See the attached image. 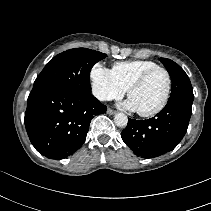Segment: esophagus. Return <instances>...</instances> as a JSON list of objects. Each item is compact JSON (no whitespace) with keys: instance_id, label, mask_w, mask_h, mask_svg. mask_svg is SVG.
Returning <instances> with one entry per match:
<instances>
[{"instance_id":"obj_1","label":"esophagus","mask_w":211,"mask_h":211,"mask_svg":"<svg viewBox=\"0 0 211 211\" xmlns=\"http://www.w3.org/2000/svg\"><path fill=\"white\" fill-rule=\"evenodd\" d=\"M107 113H108L109 115H113V114L116 113V111L113 110V109H111V108H108Z\"/></svg>"}]
</instances>
